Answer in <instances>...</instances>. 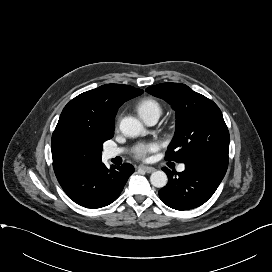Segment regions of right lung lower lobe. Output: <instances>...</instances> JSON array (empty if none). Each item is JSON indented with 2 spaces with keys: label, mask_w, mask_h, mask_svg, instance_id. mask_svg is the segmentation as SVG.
I'll return each instance as SVG.
<instances>
[{
  "label": "right lung lower lobe",
  "mask_w": 272,
  "mask_h": 272,
  "mask_svg": "<svg viewBox=\"0 0 272 272\" xmlns=\"http://www.w3.org/2000/svg\"><path fill=\"white\" fill-rule=\"evenodd\" d=\"M133 172L134 167L128 163L107 168L100 160L77 171L60 185L77 204L101 208L117 199Z\"/></svg>",
  "instance_id": "1"
}]
</instances>
